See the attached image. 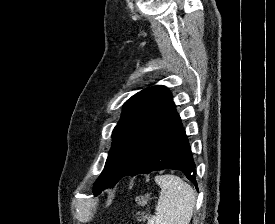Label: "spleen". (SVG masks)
I'll return each mask as SVG.
<instances>
[{
  "label": "spleen",
  "instance_id": "spleen-1",
  "mask_svg": "<svg viewBox=\"0 0 275 224\" xmlns=\"http://www.w3.org/2000/svg\"><path fill=\"white\" fill-rule=\"evenodd\" d=\"M155 182L161 188L156 213L147 224H189L195 209L193 188L175 175H157Z\"/></svg>",
  "mask_w": 275,
  "mask_h": 224
}]
</instances>
